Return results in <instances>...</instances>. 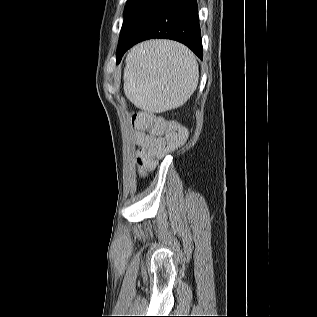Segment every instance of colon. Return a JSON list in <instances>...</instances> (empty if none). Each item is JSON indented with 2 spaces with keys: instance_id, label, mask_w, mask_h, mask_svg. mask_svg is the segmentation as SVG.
<instances>
[{
  "instance_id": "1",
  "label": "colon",
  "mask_w": 317,
  "mask_h": 317,
  "mask_svg": "<svg viewBox=\"0 0 317 317\" xmlns=\"http://www.w3.org/2000/svg\"><path fill=\"white\" fill-rule=\"evenodd\" d=\"M133 124L138 130L157 136L148 150L138 154L136 164L141 174L154 168L157 160L181 146L186 138L185 129L178 123L149 111L134 114Z\"/></svg>"
}]
</instances>
